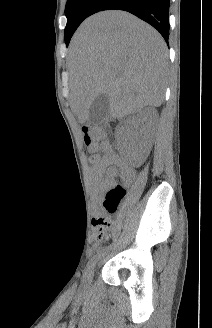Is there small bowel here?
Masks as SVG:
<instances>
[{
    "label": "small bowel",
    "mask_w": 212,
    "mask_h": 328,
    "mask_svg": "<svg viewBox=\"0 0 212 328\" xmlns=\"http://www.w3.org/2000/svg\"><path fill=\"white\" fill-rule=\"evenodd\" d=\"M92 151L94 153L89 158L90 175L100 191L111 188L118 176L125 183H130L133 180L134 170L124 164L109 143L98 144L92 148ZM96 219H94L93 225L98 230Z\"/></svg>",
    "instance_id": "small-bowel-1"
}]
</instances>
